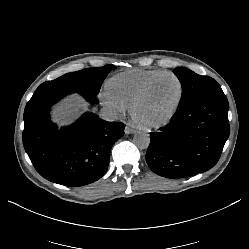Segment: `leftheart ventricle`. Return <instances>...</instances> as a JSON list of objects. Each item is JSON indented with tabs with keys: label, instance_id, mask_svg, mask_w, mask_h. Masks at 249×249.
<instances>
[{
	"label": "left heart ventricle",
	"instance_id": "left-heart-ventricle-1",
	"mask_svg": "<svg viewBox=\"0 0 249 249\" xmlns=\"http://www.w3.org/2000/svg\"><path fill=\"white\" fill-rule=\"evenodd\" d=\"M178 97L177 80L170 76L160 79L138 105L135 112L137 119L152 122L166 117L176 105Z\"/></svg>",
	"mask_w": 249,
	"mask_h": 249
}]
</instances>
